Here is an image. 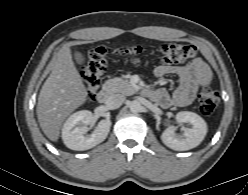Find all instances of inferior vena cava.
<instances>
[{"mask_svg":"<svg viewBox=\"0 0 248 195\" xmlns=\"http://www.w3.org/2000/svg\"><path fill=\"white\" fill-rule=\"evenodd\" d=\"M125 101V96L122 94H113L108 97L105 104L109 109L119 108Z\"/></svg>","mask_w":248,"mask_h":195,"instance_id":"obj_1","label":"inferior vena cava"}]
</instances>
